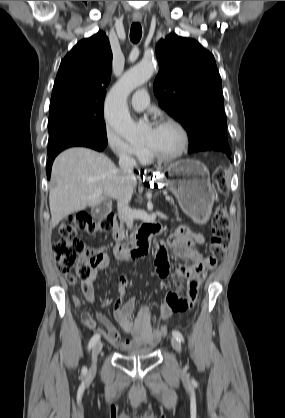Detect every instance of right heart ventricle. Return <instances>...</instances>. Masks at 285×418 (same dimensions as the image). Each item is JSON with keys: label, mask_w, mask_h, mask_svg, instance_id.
I'll use <instances>...</instances> for the list:
<instances>
[{"label": "right heart ventricle", "mask_w": 285, "mask_h": 418, "mask_svg": "<svg viewBox=\"0 0 285 418\" xmlns=\"http://www.w3.org/2000/svg\"><path fill=\"white\" fill-rule=\"evenodd\" d=\"M142 159L145 161V160H147L148 158H146V156H145V155H142Z\"/></svg>", "instance_id": "right-heart-ventricle-1"}]
</instances>
